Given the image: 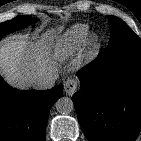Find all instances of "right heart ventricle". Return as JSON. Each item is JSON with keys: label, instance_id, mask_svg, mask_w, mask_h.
<instances>
[{"label": "right heart ventricle", "instance_id": "e07e8e85", "mask_svg": "<svg viewBox=\"0 0 141 141\" xmlns=\"http://www.w3.org/2000/svg\"><path fill=\"white\" fill-rule=\"evenodd\" d=\"M90 31L85 24H76L69 28L56 44V56L67 59L78 52L87 42Z\"/></svg>", "mask_w": 141, "mask_h": 141}]
</instances>
